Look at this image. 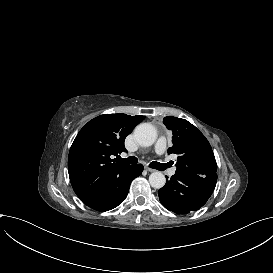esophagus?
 I'll use <instances>...</instances> for the list:
<instances>
[{
  "mask_svg": "<svg viewBox=\"0 0 273 273\" xmlns=\"http://www.w3.org/2000/svg\"><path fill=\"white\" fill-rule=\"evenodd\" d=\"M145 170L148 172H155L156 171L155 169L149 168L147 166H145Z\"/></svg>",
  "mask_w": 273,
  "mask_h": 273,
  "instance_id": "1",
  "label": "esophagus"
}]
</instances>
